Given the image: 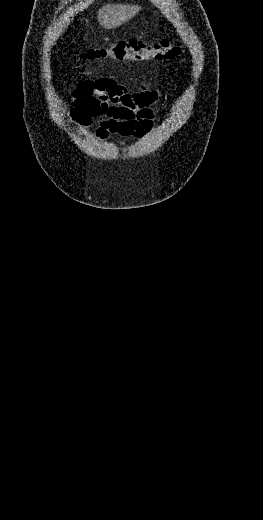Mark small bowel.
Instances as JSON below:
<instances>
[{
  "instance_id": "c3829d8e",
  "label": "small bowel",
  "mask_w": 263,
  "mask_h": 520,
  "mask_svg": "<svg viewBox=\"0 0 263 520\" xmlns=\"http://www.w3.org/2000/svg\"><path fill=\"white\" fill-rule=\"evenodd\" d=\"M159 96L148 85L131 92L111 78L87 79L72 89L70 116L82 127L98 118L95 134L102 140L111 134L141 138L154 127Z\"/></svg>"
}]
</instances>
